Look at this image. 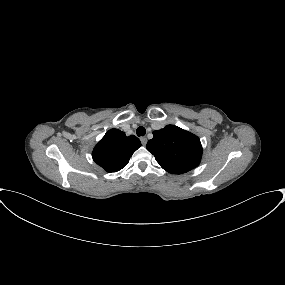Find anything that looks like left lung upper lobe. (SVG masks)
I'll use <instances>...</instances> for the list:
<instances>
[{
    "label": "left lung upper lobe",
    "mask_w": 285,
    "mask_h": 285,
    "mask_svg": "<svg viewBox=\"0 0 285 285\" xmlns=\"http://www.w3.org/2000/svg\"><path fill=\"white\" fill-rule=\"evenodd\" d=\"M153 135L147 150L167 172L183 174L199 165L202 146L196 135L174 125L156 130Z\"/></svg>",
    "instance_id": "left-lung-upper-lobe-1"
}]
</instances>
